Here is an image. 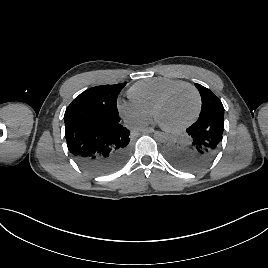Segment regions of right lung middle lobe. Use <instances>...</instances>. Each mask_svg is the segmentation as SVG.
Masks as SVG:
<instances>
[{
    "label": "right lung middle lobe",
    "mask_w": 268,
    "mask_h": 268,
    "mask_svg": "<svg viewBox=\"0 0 268 268\" xmlns=\"http://www.w3.org/2000/svg\"><path fill=\"white\" fill-rule=\"evenodd\" d=\"M125 85L126 83H121L87 89L72 101L65 113H69L79 107H93L109 113H118L117 97Z\"/></svg>",
    "instance_id": "right-lung-middle-lobe-1"
}]
</instances>
